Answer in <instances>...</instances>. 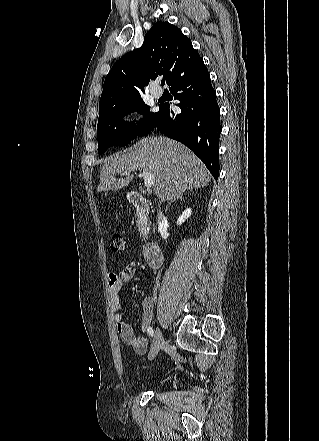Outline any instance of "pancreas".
Returning a JSON list of instances; mask_svg holds the SVG:
<instances>
[{
    "mask_svg": "<svg viewBox=\"0 0 319 441\" xmlns=\"http://www.w3.org/2000/svg\"><path fill=\"white\" fill-rule=\"evenodd\" d=\"M136 224L138 226L140 235L146 239L149 233L148 213L140 212L136 215Z\"/></svg>",
    "mask_w": 319,
    "mask_h": 441,
    "instance_id": "pancreas-1",
    "label": "pancreas"
}]
</instances>
